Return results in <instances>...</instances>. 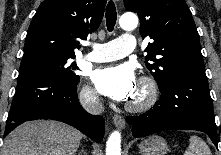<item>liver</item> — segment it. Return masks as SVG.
<instances>
[{
	"instance_id": "6515ba94",
	"label": "liver",
	"mask_w": 221,
	"mask_h": 155,
	"mask_svg": "<svg viewBox=\"0 0 221 155\" xmlns=\"http://www.w3.org/2000/svg\"><path fill=\"white\" fill-rule=\"evenodd\" d=\"M83 134L52 120L25 122L5 139L2 155H75Z\"/></svg>"
}]
</instances>
